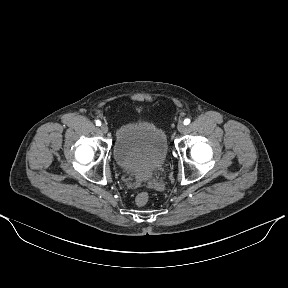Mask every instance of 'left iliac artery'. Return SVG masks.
I'll return each mask as SVG.
<instances>
[{
	"label": "left iliac artery",
	"mask_w": 288,
	"mask_h": 288,
	"mask_svg": "<svg viewBox=\"0 0 288 288\" xmlns=\"http://www.w3.org/2000/svg\"><path fill=\"white\" fill-rule=\"evenodd\" d=\"M184 124H185V125L190 124V119H189V118H186V119L184 120Z\"/></svg>",
	"instance_id": "left-iliac-artery-1"
}]
</instances>
